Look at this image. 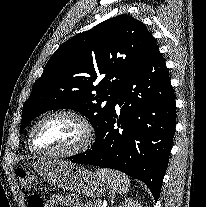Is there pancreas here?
<instances>
[{
  "label": "pancreas",
  "instance_id": "cf45deb5",
  "mask_svg": "<svg viewBox=\"0 0 206 207\" xmlns=\"http://www.w3.org/2000/svg\"><path fill=\"white\" fill-rule=\"evenodd\" d=\"M85 207H101V202L99 200H96L93 202H87L85 204Z\"/></svg>",
  "mask_w": 206,
  "mask_h": 207
}]
</instances>
